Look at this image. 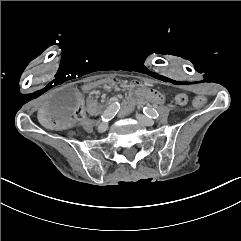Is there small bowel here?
I'll return each mask as SVG.
<instances>
[{"label": "small bowel", "mask_w": 241, "mask_h": 241, "mask_svg": "<svg viewBox=\"0 0 241 241\" xmlns=\"http://www.w3.org/2000/svg\"><path fill=\"white\" fill-rule=\"evenodd\" d=\"M101 86H103L104 88H111L114 86V82L112 81H104L102 83H100ZM130 87L132 89L135 90H140L142 88V83L140 81L137 80H132L130 82ZM96 88L95 84H87L86 86H84V91L85 92H93V90ZM144 95L152 101H157V102H162L164 100V95L162 93H158V91L156 89H151V88H146L144 90ZM48 103L47 102H42L40 105V116L42 118L43 123L47 126V127H51L54 129H66L68 127V124L66 122H59L57 120H52L49 117L48 114ZM88 108L90 110L91 113H95L97 111V103L95 102V100L93 99H89L88 100Z\"/></svg>", "instance_id": "1"}]
</instances>
